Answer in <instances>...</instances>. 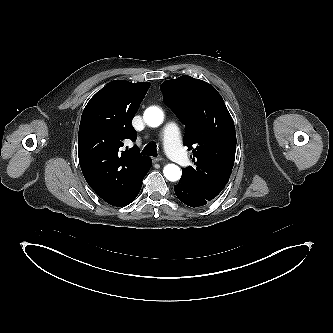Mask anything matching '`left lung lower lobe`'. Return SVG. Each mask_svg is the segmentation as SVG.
<instances>
[{
	"instance_id": "obj_1",
	"label": "left lung lower lobe",
	"mask_w": 333,
	"mask_h": 333,
	"mask_svg": "<svg viewBox=\"0 0 333 333\" xmlns=\"http://www.w3.org/2000/svg\"><path fill=\"white\" fill-rule=\"evenodd\" d=\"M174 191L180 201L191 207H200L212 202L209 196L192 188L182 179L174 186Z\"/></svg>"
}]
</instances>
